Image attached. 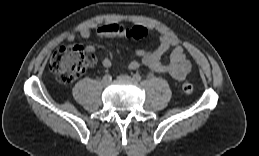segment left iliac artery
I'll list each match as a JSON object with an SVG mask.
<instances>
[{"label": "left iliac artery", "mask_w": 259, "mask_h": 156, "mask_svg": "<svg viewBox=\"0 0 259 156\" xmlns=\"http://www.w3.org/2000/svg\"><path fill=\"white\" fill-rule=\"evenodd\" d=\"M133 79H134V81H136V82L141 81V76H140V74H138V73L134 74V75H133Z\"/></svg>", "instance_id": "obj_1"}]
</instances>
